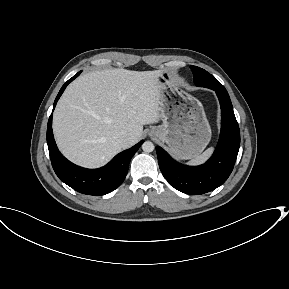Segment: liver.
<instances>
[{
    "instance_id": "6515ba94",
    "label": "liver",
    "mask_w": 289,
    "mask_h": 289,
    "mask_svg": "<svg viewBox=\"0 0 289 289\" xmlns=\"http://www.w3.org/2000/svg\"><path fill=\"white\" fill-rule=\"evenodd\" d=\"M161 73L112 69L89 72L73 81L53 115L60 151L76 164L96 168L136 144L143 125L161 118ZM119 135L126 136L123 144Z\"/></svg>"
}]
</instances>
